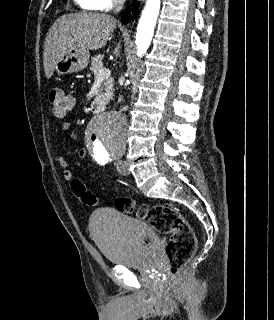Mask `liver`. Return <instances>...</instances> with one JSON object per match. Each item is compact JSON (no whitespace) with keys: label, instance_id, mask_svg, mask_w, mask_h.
Instances as JSON below:
<instances>
[{"label":"liver","instance_id":"liver-1","mask_svg":"<svg viewBox=\"0 0 274 320\" xmlns=\"http://www.w3.org/2000/svg\"><path fill=\"white\" fill-rule=\"evenodd\" d=\"M116 28L108 14H65L51 26L44 44L43 66L46 78H52L55 64L69 50H99L106 46Z\"/></svg>","mask_w":274,"mask_h":320}]
</instances>
